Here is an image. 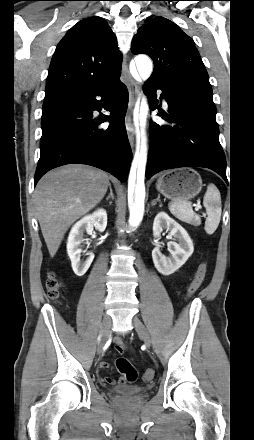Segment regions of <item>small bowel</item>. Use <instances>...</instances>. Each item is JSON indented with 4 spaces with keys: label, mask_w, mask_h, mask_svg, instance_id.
I'll list each match as a JSON object with an SVG mask.
<instances>
[{
    "label": "small bowel",
    "mask_w": 254,
    "mask_h": 440,
    "mask_svg": "<svg viewBox=\"0 0 254 440\" xmlns=\"http://www.w3.org/2000/svg\"><path fill=\"white\" fill-rule=\"evenodd\" d=\"M115 347L116 350L119 352H123L124 350H126V346L124 345L123 341L119 338H117L115 341ZM100 367L102 369H107L109 367V363L105 360H102L100 362ZM103 381L107 384H114L116 382V380L113 377H105ZM119 382H123V379H120Z\"/></svg>",
    "instance_id": "small-bowel-1"
}]
</instances>
